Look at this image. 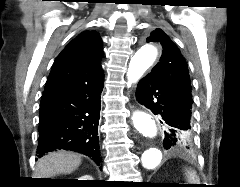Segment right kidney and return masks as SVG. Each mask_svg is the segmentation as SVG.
<instances>
[{
	"label": "right kidney",
	"mask_w": 240,
	"mask_h": 187,
	"mask_svg": "<svg viewBox=\"0 0 240 187\" xmlns=\"http://www.w3.org/2000/svg\"><path fill=\"white\" fill-rule=\"evenodd\" d=\"M79 180H93V178L90 175H84L81 178H79Z\"/></svg>",
	"instance_id": "ca27d5eb"
}]
</instances>
